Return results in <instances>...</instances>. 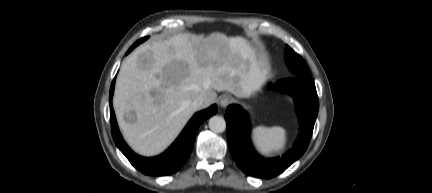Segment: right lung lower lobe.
<instances>
[{"label":"right lung lower lobe","mask_w":432,"mask_h":193,"mask_svg":"<svg viewBox=\"0 0 432 193\" xmlns=\"http://www.w3.org/2000/svg\"><path fill=\"white\" fill-rule=\"evenodd\" d=\"M129 52L130 51L127 53ZM114 85L115 79L110 88L109 104L112 136L117 147L134 167L146 175L163 176L178 171L184 165L192 151L198 127L205 119L217 112V106L212 105L208 109L196 113L181 132L177 140L163 154L153 158H145L135 154L124 142L119 132L115 113L112 107Z\"/></svg>","instance_id":"obj_1"}]
</instances>
